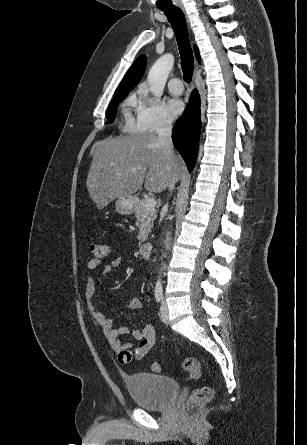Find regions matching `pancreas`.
Masks as SVG:
<instances>
[{"instance_id":"obj_1","label":"pancreas","mask_w":307,"mask_h":445,"mask_svg":"<svg viewBox=\"0 0 307 445\" xmlns=\"http://www.w3.org/2000/svg\"><path fill=\"white\" fill-rule=\"evenodd\" d=\"M147 198H141L138 202L137 208H135V216L137 218V227H139V235H137V239H139V245H142L143 241H146L148 233H151V229L153 227V220H155L157 216L156 208H146Z\"/></svg>"}]
</instances>
